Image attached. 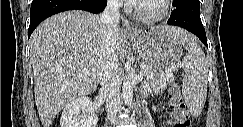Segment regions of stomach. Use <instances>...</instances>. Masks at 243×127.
Segmentation results:
<instances>
[{"instance_id":"0dacf381","label":"stomach","mask_w":243,"mask_h":127,"mask_svg":"<svg viewBox=\"0 0 243 127\" xmlns=\"http://www.w3.org/2000/svg\"><path fill=\"white\" fill-rule=\"evenodd\" d=\"M142 59L158 70H168L180 61L182 47L178 39L164 27H154L129 36Z\"/></svg>"}]
</instances>
